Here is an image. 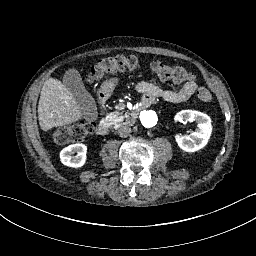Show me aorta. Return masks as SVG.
Returning a JSON list of instances; mask_svg holds the SVG:
<instances>
[{"mask_svg":"<svg viewBox=\"0 0 256 256\" xmlns=\"http://www.w3.org/2000/svg\"><path fill=\"white\" fill-rule=\"evenodd\" d=\"M141 122L146 127H153L157 123V116L152 111H145L141 115Z\"/></svg>","mask_w":256,"mask_h":256,"instance_id":"aorta-1","label":"aorta"}]
</instances>
